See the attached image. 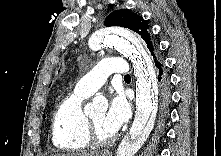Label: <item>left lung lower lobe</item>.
<instances>
[{"label": "left lung lower lobe", "instance_id": "0a47b994", "mask_svg": "<svg viewBox=\"0 0 221 156\" xmlns=\"http://www.w3.org/2000/svg\"><path fill=\"white\" fill-rule=\"evenodd\" d=\"M157 71V89H158V119L160 130L162 129L165 119L169 113V99H170V89H169V77L165 70L163 60L160 59L155 63Z\"/></svg>", "mask_w": 221, "mask_h": 156}]
</instances>
